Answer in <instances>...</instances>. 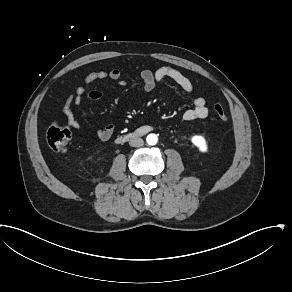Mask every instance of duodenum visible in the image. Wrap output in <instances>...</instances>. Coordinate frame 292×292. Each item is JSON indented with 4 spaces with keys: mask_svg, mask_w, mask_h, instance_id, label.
Masks as SVG:
<instances>
[{
    "mask_svg": "<svg viewBox=\"0 0 292 292\" xmlns=\"http://www.w3.org/2000/svg\"><path fill=\"white\" fill-rule=\"evenodd\" d=\"M152 128L151 127H146L144 129V131H149L151 130ZM140 135V132H129V133H126V134H122L120 136H118V140H124V139H128V138H133V137H137Z\"/></svg>",
    "mask_w": 292,
    "mask_h": 292,
    "instance_id": "duodenum-1",
    "label": "duodenum"
}]
</instances>
